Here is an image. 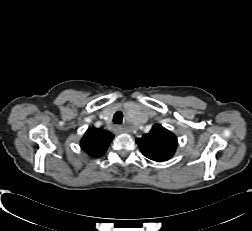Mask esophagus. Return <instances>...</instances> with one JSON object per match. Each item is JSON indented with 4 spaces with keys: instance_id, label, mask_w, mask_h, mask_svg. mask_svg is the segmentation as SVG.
Returning <instances> with one entry per match:
<instances>
[{
    "instance_id": "obj_1",
    "label": "esophagus",
    "mask_w": 252,
    "mask_h": 231,
    "mask_svg": "<svg viewBox=\"0 0 252 231\" xmlns=\"http://www.w3.org/2000/svg\"><path fill=\"white\" fill-rule=\"evenodd\" d=\"M114 132H115L116 134H120V133L124 132V129H123L121 126L116 125V126L114 127Z\"/></svg>"
}]
</instances>
